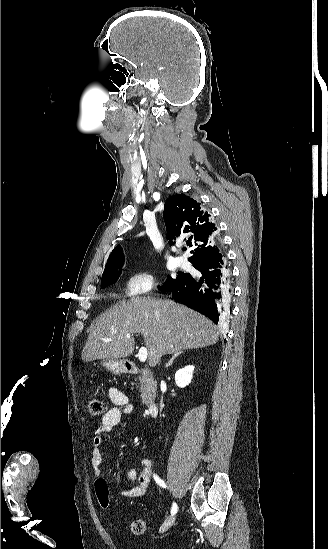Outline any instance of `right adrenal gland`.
<instances>
[{
    "label": "right adrenal gland",
    "instance_id": "1",
    "mask_svg": "<svg viewBox=\"0 0 328 549\" xmlns=\"http://www.w3.org/2000/svg\"><path fill=\"white\" fill-rule=\"evenodd\" d=\"M178 355H180V353H176V355H174V357H172V359H170V363H172V361H174V359H176V357H178Z\"/></svg>",
    "mask_w": 328,
    "mask_h": 549
}]
</instances>
